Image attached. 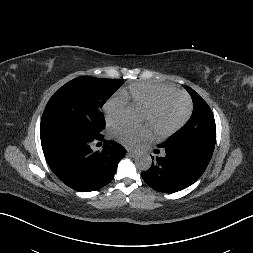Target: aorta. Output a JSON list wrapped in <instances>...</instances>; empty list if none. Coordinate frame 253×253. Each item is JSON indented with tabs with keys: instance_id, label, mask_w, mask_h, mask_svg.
<instances>
[{
	"instance_id": "aorta-1",
	"label": "aorta",
	"mask_w": 253,
	"mask_h": 253,
	"mask_svg": "<svg viewBox=\"0 0 253 253\" xmlns=\"http://www.w3.org/2000/svg\"><path fill=\"white\" fill-rule=\"evenodd\" d=\"M125 119L129 123H137L140 120V111L135 106H129L125 110ZM152 158L146 152H141L136 156L135 165L139 170L146 171L151 167Z\"/></svg>"
}]
</instances>
